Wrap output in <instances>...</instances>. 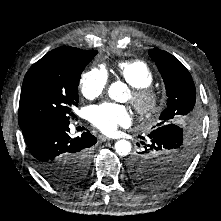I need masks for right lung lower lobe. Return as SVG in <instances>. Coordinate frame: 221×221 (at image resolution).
I'll use <instances>...</instances> for the list:
<instances>
[{"label": "right lung lower lobe", "instance_id": "1", "mask_svg": "<svg viewBox=\"0 0 221 221\" xmlns=\"http://www.w3.org/2000/svg\"><path fill=\"white\" fill-rule=\"evenodd\" d=\"M37 170L44 176L50 166H59L68 156L87 151L97 142L89 131L80 137L69 135V120L42 117L21 126Z\"/></svg>", "mask_w": 221, "mask_h": 221}]
</instances>
